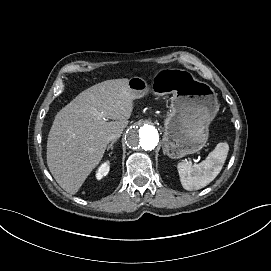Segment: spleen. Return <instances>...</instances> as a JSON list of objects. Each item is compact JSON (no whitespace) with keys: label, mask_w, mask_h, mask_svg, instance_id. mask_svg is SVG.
<instances>
[{"label":"spleen","mask_w":271,"mask_h":271,"mask_svg":"<svg viewBox=\"0 0 271 271\" xmlns=\"http://www.w3.org/2000/svg\"><path fill=\"white\" fill-rule=\"evenodd\" d=\"M228 151L229 145L226 142H221L200 164L192 165L188 162H180L177 166L180 178L188 185H195L197 189L208 185L220 173ZM184 188L189 190L186 186Z\"/></svg>","instance_id":"3e777b00"}]
</instances>
